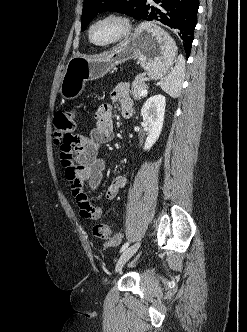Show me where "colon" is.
Segmentation results:
<instances>
[{"instance_id": "1", "label": "colon", "mask_w": 247, "mask_h": 332, "mask_svg": "<svg viewBox=\"0 0 247 332\" xmlns=\"http://www.w3.org/2000/svg\"><path fill=\"white\" fill-rule=\"evenodd\" d=\"M77 123V113L73 110L56 112L53 118L54 138L56 143L62 145H73L72 132ZM61 145V146H62ZM93 233L97 238L119 242L122 233L115 232L106 224H96Z\"/></svg>"}]
</instances>
